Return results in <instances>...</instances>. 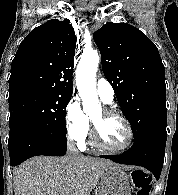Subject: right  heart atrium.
<instances>
[{"label":"right heart atrium","mask_w":178,"mask_h":195,"mask_svg":"<svg viewBox=\"0 0 178 195\" xmlns=\"http://www.w3.org/2000/svg\"><path fill=\"white\" fill-rule=\"evenodd\" d=\"M65 128L69 139L84 144L90 135V121L78 98H71L65 109Z\"/></svg>","instance_id":"right-heart-atrium-1"}]
</instances>
